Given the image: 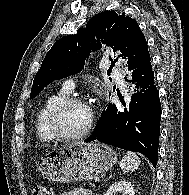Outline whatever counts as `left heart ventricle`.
I'll return each instance as SVG.
<instances>
[{
	"instance_id": "b2bd125f",
	"label": "left heart ventricle",
	"mask_w": 189,
	"mask_h": 195,
	"mask_svg": "<svg viewBox=\"0 0 189 195\" xmlns=\"http://www.w3.org/2000/svg\"><path fill=\"white\" fill-rule=\"evenodd\" d=\"M90 119V109L86 105L74 104L69 106L59 120L61 130L69 135L80 133Z\"/></svg>"
}]
</instances>
